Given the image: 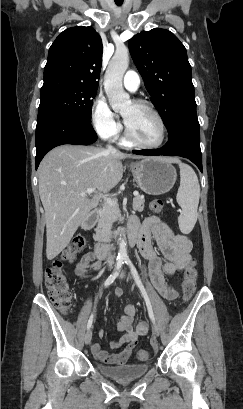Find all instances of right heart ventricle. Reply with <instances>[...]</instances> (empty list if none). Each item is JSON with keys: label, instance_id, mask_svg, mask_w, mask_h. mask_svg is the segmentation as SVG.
<instances>
[{"label": "right heart ventricle", "instance_id": "e07e8e85", "mask_svg": "<svg viewBox=\"0 0 243 409\" xmlns=\"http://www.w3.org/2000/svg\"><path fill=\"white\" fill-rule=\"evenodd\" d=\"M122 144H124V145L127 146V145H129V142H128L126 139H123V140H122Z\"/></svg>", "mask_w": 243, "mask_h": 409}]
</instances>
